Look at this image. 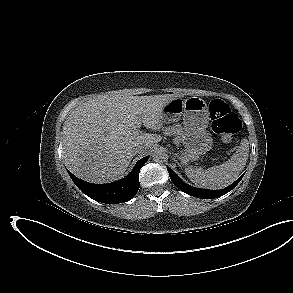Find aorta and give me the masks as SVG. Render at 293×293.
<instances>
[{
    "label": "aorta",
    "instance_id": "aorta-1",
    "mask_svg": "<svg viewBox=\"0 0 293 293\" xmlns=\"http://www.w3.org/2000/svg\"><path fill=\"white\" fill-rule=\"evenodd\" d=\"M153 161L155 162H162L166 159L167 154L165 152V150L158 148L153 152Z\"/></svg>",
    "mask_w": 293,
    "mask_h": 293
}]
</instances>
